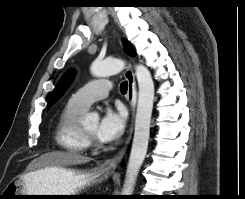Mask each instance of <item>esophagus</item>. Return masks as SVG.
I'll list each match as a JSON object with an SVG mask.
<instances>
[{
    "label": "esophagus",
    "mask_w": 245,
    "mask_h": 199,
    "mask_svg": "<svg viewBox=\"0 0 245 199\" xmlns=\"http://www.w3.org/2000/svg\"><path fill=\"white\" fill-rule=\"evenodd\" d=\"M124 76L128 82V90H127V101L129 102L130 108H131V124L129 128V135L127 137V140L125 142V146L122 148V150L113 158L106 159L102 165L101 169L104 171H112L115 170L119 162L121 161L125 151L126 147L129 144L132 136L133 131V122H134V116H135V108H136V102H137V89H136V81H135V75L133 73V70L130 66H128L125 70Z\"/></svg>",
    "instance_id": "esophagus-1"
}]
</instances>
